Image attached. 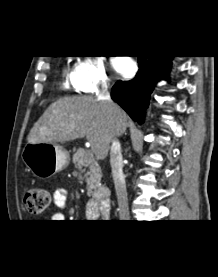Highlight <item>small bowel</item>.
Returning a JSON list of instances; mask_svg holds the SVG:
<instances>
[{
    "mask_svg": "<svg viewBox=\"0 0 218 277\" xmlns=\"http://www.w3.org/2000/svg\"><path fill=\"white\" fill-rule=\"evenodd\" d=\"M53 202L54 205L58 209H64L67 206L68 203V192L65 189H57L53 194ZM86 209L88 212V216L90 218H95L98 216V208L95 202L89 201L86 205ZM54 220H63L64 215L61 213H55L53 215Z\"/></svg>",
    "mask_w": 218,
    "mask_h": 277,
    "instance_id": "obj_1",
    "label": "small bowel"
}]
</instances>
